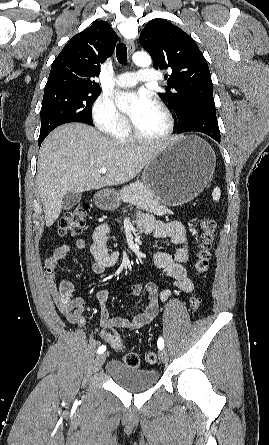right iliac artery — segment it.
I'll return each instance as SVG.
<instances>
[{
	"label": "right iliac artery",
	"instance_id": "right-iliac-artery-1",
	"mask_svg": "<svg viewBox=\"0 0 269 445\" xmlns=\"http://www.w3.org/2000/svg\"><path fill=\"white\" fill-rule=\"evenodd\" d=\"M105 350H106V346H105V345H102V346H100V347L98 348L97 353L101 354V353H103Z\"/></svg>",
	"mask_w": 269,
	"mask_h": 445
}]
</instances>
